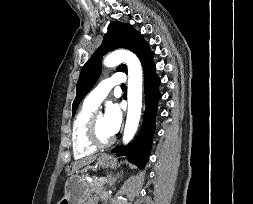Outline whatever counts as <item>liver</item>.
Returning a JSON list of instances; mask_svg holds the SVG:
<instances>
[{
	"label": "liver",
	"instance_id": "1",
	"mask_svg": "<svg viewBox=\"0 0 253 204\" xmlns=\"http://www.w3.org/2000/svg\"><path fill=\"white\" fill-rule=\"evenodd\" d=\"M97 156H88L85 157L79 161H75L72 164V173H74L75 171H77L78 169L82 168L83 166L89 165L92 162H94L96 160Z\"/></svg>",
	"mask_w": 253,
	"mask_h": 204
}]
</instances>
